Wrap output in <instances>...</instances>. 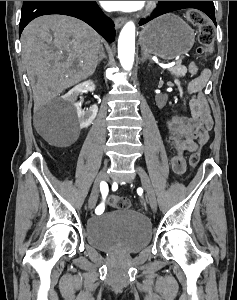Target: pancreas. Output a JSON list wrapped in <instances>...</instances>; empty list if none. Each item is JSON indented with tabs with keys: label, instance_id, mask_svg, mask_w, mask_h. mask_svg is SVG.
Instances as JSON below:
<instances>
[{
	"label": "pancreas",
	"instance_id": "obj_1",
	"mask_svg": "<svg viewBox=\"0 0 237 300\" xmlns=\"http://www.w3.org/2000/svg\"><path fill=\"white\" fill-rule=\"evenodd\" d=\"M169 71H171L172 75H181V77H183V75H185L187 69L186 67H183V65L180 66H175V67H170Z\"/></svg>",
	"mask_w": 237,
	"mask_h": 300
}]
</instances>
